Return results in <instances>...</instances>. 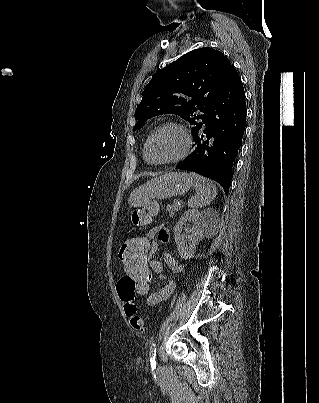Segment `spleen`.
Here are the masks:
<instances>
[{"mask_svg": "<svg viewBox=\"0 0 319 403\" xmlns=\"http://www.w3.org/2000/svg\"><path fill=\"white\" fill-rule=\"evenodd\" d=\"M189 175L196 183V194L188 200V207L202 208L208 205L217 195L216 186L199 174L191 172Z\"/></svg>", "mask_w": 319, "mask_h": 403, "instance_id": "spleen-1", "label": "spleen"}]
</instances>
